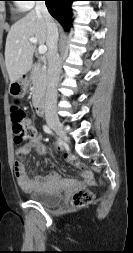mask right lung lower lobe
Instances as JSON below:
<instances>
[{
    "instance_id": "98d812e1",
    "label": "right lung lower lobe",
    "mask_w": 133,
    "mask_h": 253,
    "mask_svg": "<svg viewBox=\"0 0 133 253\" xmlns=\"http://www.w3.org/2000/svg\"><path fill=\"white\" fill-rule=\"evenodd\" d=\"M72 1L74 0H45L49 13L60 22L65 31L70 28Z\"/></svg>"
}]
</instances>
